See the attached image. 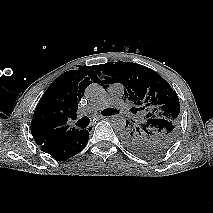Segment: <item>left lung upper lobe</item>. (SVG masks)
<instances>
[{
  "mask_svg": "<svg viewBox=\"0 0 213 213\" xmlns=\"http://www.w3.org/2000/svg\"><path fill=\"white\" fill-rule=\"evenodd\" d=\"M98 74L104 73L101 83H122L129 100L139 112V121L123 130L122 140L133 153L154 157L169 149L179 133L180 103L169 83L157 72L132 62H114L98 65ZM104 86V85H103Z\"/></svg>",
  "mask_w": 213,
  "mask_h": 213,
  "instance_id": "1",
  "label": "left lung upper lobe"
}]
</instances>
